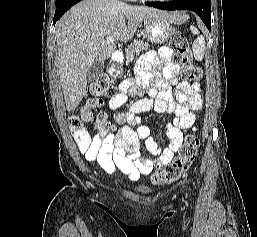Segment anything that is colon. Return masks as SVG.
<instances>
[{
	"label": "colon",
	"mask_w": 257,
	"mask_h": 237,
	"mask_svg": "<svg viewBox=\"0 0 257 237\" xmlns=\"http://www.w3.org/2000/svg\"><path fill=\"white\" fill-rule=\"evenodd\" d=\"M171 47L176 52V61L182 66L183 77L191 82L200 81L202 79V70L193 65V54L186 37L180 32H175L171 38ZM114 92V86L110 78L106 75L99 76L91 86L90 93L93 98L87 103L91 113L101 102L102 97H111ZM91 119L99 129L100 137L104 138L112 135L113 126L107 120L106 113L99 111L96 114H92ZM68 122L79 144L83 148H87L90 145L91 136L82 127L80 118L71 116ZM199 144L198 136L194 133L187 135L179 155L155 172L153 175L154 184H170L178 180L194 161Z\"/></svg>",
	"instance_id": "colon-1"
}]
</instances>
